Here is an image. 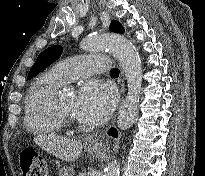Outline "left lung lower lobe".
Listing matches in <instances>:
<instances>
[{
    "label": "left lung lower lobe",
    "instance_id": "1",
    "mask_svg": "<svg viewBox=\"0 0 205 176\" xmlns=\"http://www.w3.org/2000/svg\"><path fill=\"white\" fill-rule=\"evenodd\" d=\"M109 134L113 137H117V130L114 128H111L109 131Z\"/></svg>",
    "mask_w": 205,
    "mask_h": 176
}]
</instances>
